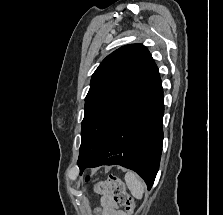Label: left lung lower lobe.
<instances>
[{"instance_id":"1","label":"left lung lower lobe","mask_w":223,"mask_h":215,"mask_svg":"<svg viewBox=\"0 0 223 215\" xmlns=\"http://www.w3.org/2000/svg\"><path fill=\"white\" fill-rule=\"evenodd\" d=\"M163 113V89L158 75L111 129L91 160L80 167V174L88 167L117 164L138 173L150 190L161 158Z\"/></svg>"}]
</instances>
